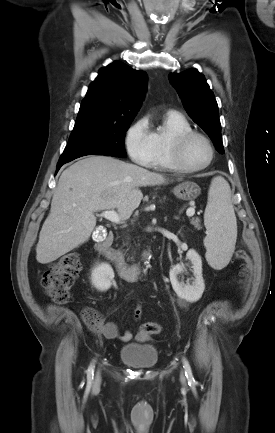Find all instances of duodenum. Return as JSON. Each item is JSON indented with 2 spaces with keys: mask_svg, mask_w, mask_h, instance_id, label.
Here are the masks:
<instances>
[{
  "mask_svg": "<svg viewBox=\"0 0 275 433\" xmlns=\"http://www.w3.org/2000/svg\"><path fill=\"white\" fill-rule=\"evenodd\" d=\"M114 235L112 233L99 236L96 239V249L105 256L115 267L118 275L126 281H136L144 274L139 264H129L112 248Z\"/></svg>",
  "mask_w": 275,
  "mask_h": 433,
  "instance_id": "duodenum-1",
  "label": "duodenum"
}]
</instances>
